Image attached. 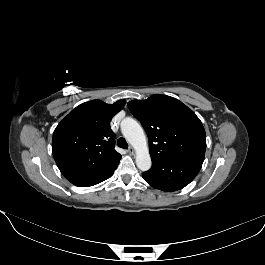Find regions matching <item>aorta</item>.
<instances>
[{
  "instance_id": "aorta-1",
  "label": "aorta",
  "mask_w": 265,
  "mask_h": 265,
  "mask_svg": "<svg viewBox=\"0 0 265 265\" xmlns=\"http://www.w3.org/2000/svg\"><path fill=\"white\" fill-rule=\"evenodd\" d=\"M121 132L136 151L137 167L141 171H148L151 168L152 161L142 127L136 120L126 118L121 122Z\"/></svg>"
}]
</instances>
